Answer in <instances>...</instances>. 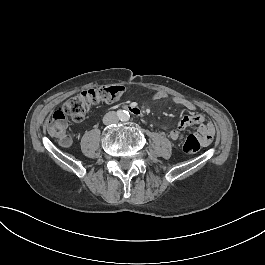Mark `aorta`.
Returning <instances> with one entry per match:
<instances>
[{"label": "aorta", "mask_w": 265, "mask_h": 265, "mask_svg": "<svg viewBox=\"0 0 265 265\" xmlns=\"http://www.w3.org/2000/svg\"><path fill=\"white\" fill-rule=\"evenodd\" d=\"M119 119L122 122H127L130 119V115H129V113L127 111H124V112L119 114Z\"/></svg>", "instance_id": "obj_1"}]
</instances>
